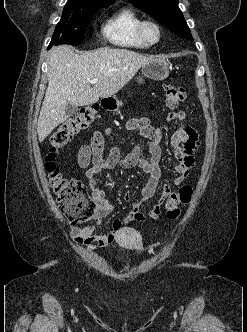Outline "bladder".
Listing matches in <instances>:
<instances>
[{"mask_svg": "<svg viewBox=\"0 0 247 332\" xmlns=\"http://www.w3.org/2000/svg\"><path fill=\"white\" fill-rule=\"evenodd\" d=\"M135 241L137 242L138 241V238L135 236Z\"/></svg>", "mask_w": 247, "mask_h": 332, "instance_id": "31cf9c89", "label": "bladder"}]
</instances>
